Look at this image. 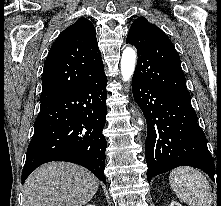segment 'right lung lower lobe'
Here are the masks:
<instances>
[{
  "instance_id": "98d812e1",
  "label": "right lung lower lobe",
  "mask_w": 221,
  "mask_h": 206,
  "mask_svg": "<svg viewBox=\"0 0 221 206\" xmlns=\"http://www.w3.org/2000/svg\"><path fill=\"white\" fill-rule=\"evenodd\" d=\"M106 85L103 72L74 90L41 102L22 184L34 169L50 161L84 166L106 184L107 143L102 134L107 114Z\"/></svg>"
}]
</instances>
